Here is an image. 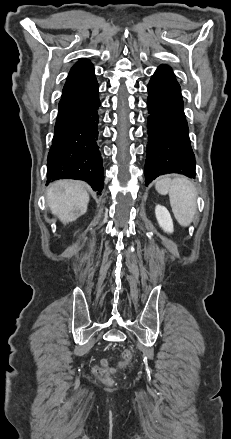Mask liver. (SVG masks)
Returning <instances> with one entry per match:
<instances>
[{
  "mask_svg": "<svg viewBox=\"0 0 231 439\" xmlns=\"http://www.w3.org/2000/svg\"><path fill=\"white\" fill-rule=\"evenodd\" d=\"M46 197L51 212L63 223L84 214L89 202L86 184L82 181H55L49 185Z\"/></svg>",
  "mask_w": 231,
  "mask_h": 439,
  "instance_id": "1",
  "label": "liver"
}]
</instances>
